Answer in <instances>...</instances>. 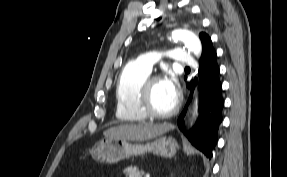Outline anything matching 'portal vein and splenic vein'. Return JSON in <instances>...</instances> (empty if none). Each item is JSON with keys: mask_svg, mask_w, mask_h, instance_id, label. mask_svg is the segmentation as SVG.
<instances>
[{"mask_svg": "<svg viewBox=\"0 0 287 177\" xmlns=\"http://www.w3.org/2000/svg\"><path fill=\"white\" fill-rule=\"evenodd\" d=\"M146 177H150V175H146Z\"/></svg>", "mask_w": 287, "mask_h": 177, "instance_id": "portal-vein-and-splenic-vein-1", "label": "portal vein and splenic vein"}]
</instances>
